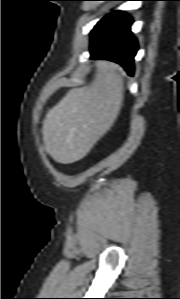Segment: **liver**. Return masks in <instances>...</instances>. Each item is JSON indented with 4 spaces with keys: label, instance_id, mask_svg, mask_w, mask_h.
<instances>
[{
    "label": "liver",
    "instance_id": "liver-1",
    "mask_svg": "<svg viewBox=\"0 0 180 299\" xmlns=\"http://www.w3.org/2000/svg\"><path fill=\"white\" fill-rule=\"evenodd\" d=\"M118 65L98 62L90 85L71 89L48 111L42 136L46 152L58 163L83 159L111 128L123 105L124 79Z\"/></svg>",
    "mask_w": 180,
    "mask_h": 299
}]
</instances>
